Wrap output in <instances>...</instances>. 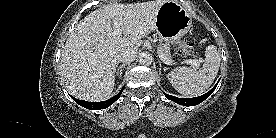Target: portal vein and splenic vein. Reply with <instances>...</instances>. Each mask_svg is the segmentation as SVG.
<instances>
[{
  "mask_svg": "<svg viewBox=\"0 0 276 138\" xmlns=\"http://www.w3.org/2000/svg\"><path fill=\"white\" fill-rule=\"evenodd\" d=\"M122 31H123L122 28H117V29L114 31V33H115L116 35H121V34H122ZM158 55H159L160 60H161L163 63H165L166 65L175 64V63L173 62V60H169L163 53H161V52H159V51H158ZM185 62H186L187 64H190V65L194 66V67H198V66H199V61L196 60V59H193V60H192V59L186 60Z\"/></svg>",
  "mask_w": 276,
  "mask_h": 138,
  "instance_id": "obj_1",
  "label": "portal vein and splenic vein"
}]
</instances>
